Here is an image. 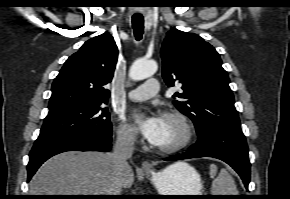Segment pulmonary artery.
<instances>
[{"label": "pulmonary artery", "mask_w": 290, "mask_h": 199, "mask_svg": "<svg viewBox=\"0 0 290 199\" xmlns=\"http://www.w3.org/2000/svg\"><path fill=\"white\" fill-rule=\"evenodd\" d=\"M160 91V84L158 80L151 79L144 84L130 90L127 97L133 101H145L158 94Z\"/></svg>", "instance_id": "1"}]
</instances>
